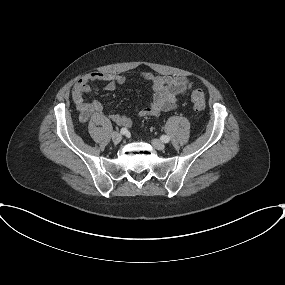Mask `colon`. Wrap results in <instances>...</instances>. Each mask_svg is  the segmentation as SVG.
<instances>
[{"mask_svg":"<svg viewBox=\"0 0 285 285\" xmlns=\"http://www.w3.org/2000/svg\"><path fill=\"white\" fill-rule=\"evenodd\" d=\"M191 101L194 105V109L197 112L204 111L206 107L205 96L201 89H194L191 93Z\"/></svg>","mask_w":285,"mask_h":285,"instance_id":"1","label":"colon"}]
</instances>
